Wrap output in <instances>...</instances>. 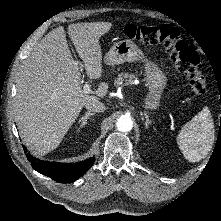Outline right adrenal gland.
<instances>
[{
  "label": "right adrenal gland",
  "instance_id": "obj_1",
  "mask_svg": "<svg viewBox=\"0 0 221 221\" xmlns=\"http://www.w3.org/2000/svg\"><path fill=\"white\" fill-rule=\"evenodd\" d=\"M94 114L95 113L86 112L85 115L79 119L80 128L85 126L87 124V121H88L89 117L93 116Z\"/></svg>",
  "mask_w": 221,
  "mask_h": 221
}]
</instances>
